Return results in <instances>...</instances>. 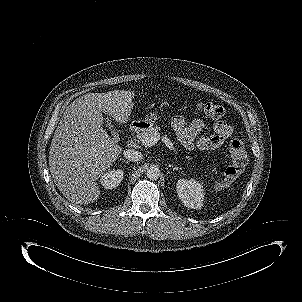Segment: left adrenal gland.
Returning a JSON list of instances; mask_svg holds the SVG:
<instances>
[{
	"instance_id": "1",
	"label": "left adrenal gland",
	"mask_w": 302,
	"mask_h": 302,
	"mask_svg": "<svg viewBox=\"0 0 302 302\" xmlns=\"http://www.w3.org/2000/svg\"><path fill=\"white\" fill-rule=\"evenodd\" d=\"M172 168H173V171H174V170H180V169H181V168H179L178 166H174V167L172 166Z\"/></svg>"
}]
</instances>
